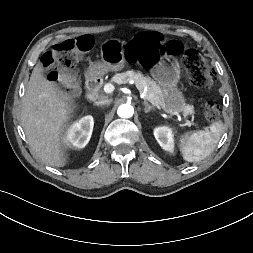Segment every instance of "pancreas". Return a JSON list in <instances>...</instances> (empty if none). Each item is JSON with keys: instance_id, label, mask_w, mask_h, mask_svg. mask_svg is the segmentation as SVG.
<instances>
[{"instance_id": "cf45deb5", "label": "pancreas", "mask_w": 253, "mask_h": 253, "mask_svg": "<svg viewBox=\"0 0 253 253\" xmlns=\"http://www.w3.org/2000/svg\"><path fill=\"white\" fill-rule=\"evenodd\" d=\"M130 80L134 81L138 90L142 91L145 88L147 89L146 94L155 106L158 108L164 106L165 92L149 76H145L141 72L127 71L115 74L112 78V82L117 84H125ZM189 113H191V108L186 106L184 114Z\"/></svg>"}]
</instances>
